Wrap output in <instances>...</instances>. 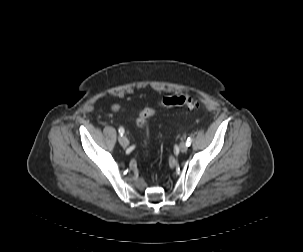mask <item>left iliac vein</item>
<instances>
[{"label":"left iliac vein","mask_w":303,"mask_h":252,"mask_svg":"<svg viewBox=\"0 0 303 252\" xmlns=\"http://www.w3.org/2000/svg\"><path fill=\"white\" fill-rule=\"evenodd\" d=\"M179 149H180L181 152L184 153V152L187 151L188 146H187V144H186L185 142H182V143H180V145H179Z\"/></svg>","instance_id":"left-iliac-vein-1"}]
</instances>
